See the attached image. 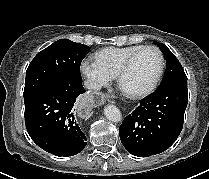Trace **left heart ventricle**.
<instances>
[{
  "mask_svg": "<svg viewBox=\"0 0 209 179\" xmlns=\"http://www.w3.org/2000/svg\"><path fill=\"white\" fill-rule=\"evenodd\" d=\"M160 68V57L154 50L143 52L134 62L122 80L126 92H137L148 87L155 79Z\"/></svg>",
  "mask_w": 209,
  "mask_h": 179,
  "instance_id": "b2bd125f",
  "label": "left heart ventricle"
}]
</instances>
